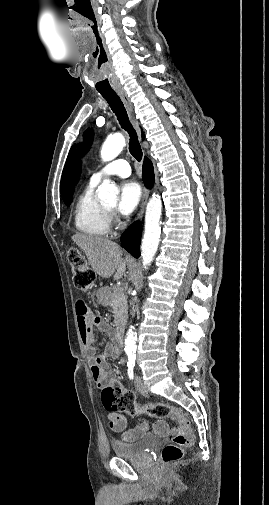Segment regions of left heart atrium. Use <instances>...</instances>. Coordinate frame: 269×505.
I'll list each match as a JSON object with an SVG mask.
<instances>
[{"label": "left heart atrium", "mask_w": 269, "mask_h": 505, "mask_svg": "<svg viewBox=\"0 0 269 505\" xmlns=\"http://www.w3.org/2000/svg\"><path fill=\"white\" fill-rule=\"evenodd\" d=\"M141 187L134 181H126L120 187V196L117 206L118 212L127 216L138 206L141 200Z\"/></svg>", "instance_id": "1"}]
</instances>
